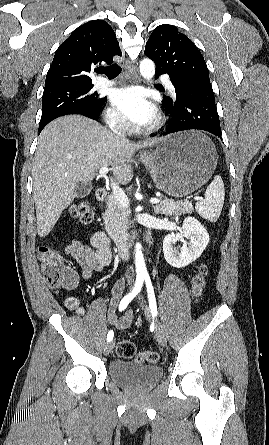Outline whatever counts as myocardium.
I'll return each instance as SVG.
<instances>
[{"label":"myocardium","mask_w":269,"mask_h":445,"mask_svg":"<svg viewBox=\"0 0 269 445\" xmlns=\"http://www.w3.org/2000/svg\"><path fill=\"white\" fill-rule=\"evenodd\" d=\"M161 125V121L159 118H157L152 124L151 126L148 128V131H154L157 128H159V126Z\"/></svg>","instance_id":"f54148a6"}]
</instances>
